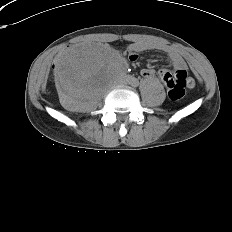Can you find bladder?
Returning <instances> with one entry per match:
<instances>
[{"mask_svg": "<svg viewBox=\"0 0 232 232\" xmlns=\"http://www.w3.org/2000/svg\"><path fill=\"white\" fill-rule=\"evenodd\" d=\"M80 48L79 47H75L74 50H79Z\"/></svg>", "mask_w": 232, "mask_h": 232, "instance_id": "1", "label": "bladder"}]
</instances>
